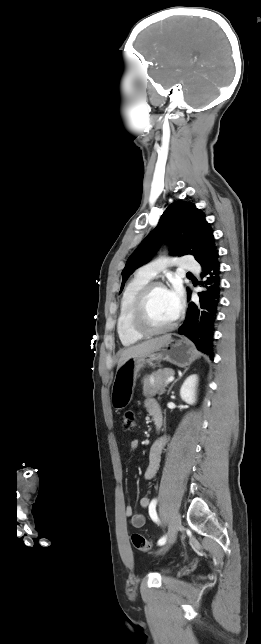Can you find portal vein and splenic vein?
<instances>
[{
  "label": "portal vein and splenic vein",
  "mask_w": 261,
  "mask_h": 644,
  "mask_svg": "<svg viewBox=\"0 0 261 644\" xmlns=\"http://www.w3.org/2000/svg\"><path fill=\"white\" fill-rule=\"evenodd\" d=\"M173 380H174V376H170V377L167 379L166 383L168 384V383L172 382Z\"/></svg>",
  "instance_id": "obj_1"
}]
</instances>
